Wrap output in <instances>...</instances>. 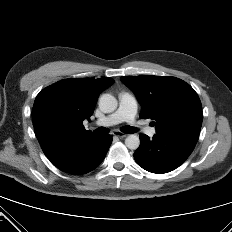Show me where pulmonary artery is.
Masks as SVG:
<instances>
[{
	"label": "pulmonary artery",
	"mask_w": 232,
	"mask_h": 232,
	"mask_svg": "<svg viewBox=\"0 0 232 232\" xmlns=\"http://www.w3.org/2000/svg\"><path fill=\"white\" fill-rule=\"evenodd\" d=\"M137 112V99L130 93L122 92L119 95L118 109L114 113L96 120L94 124L107 127L127 122L131 125H136ZM145 133L149 136H154L156 129L153 127L145 128Z\"/></svg>",
	"instance_id": "e3ab8cb5"
}]
</instances>
